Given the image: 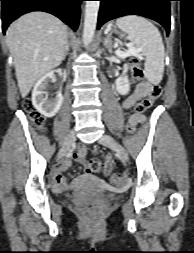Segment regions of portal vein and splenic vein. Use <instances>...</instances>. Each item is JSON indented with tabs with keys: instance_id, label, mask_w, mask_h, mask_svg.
I'll use <instances>...</instances> for the list:
<instances>
[{
	"instance_id": "obj_1",
	"label": "portal vein and splenic vein",
	"mask_w": 194,
	"mask_h": 253,
	"mask_svg": "<svg viewBox=\"0 0 194 253\" xmlns=\"http://www.w3.org/2000/svg\"><path fill=\"white\" fill-rule=\"evenodd\" d=\"M140 52L139 49H136L134 47H130L126 52H123L121 50H116V55L117 56H120V57H127V56H130V55H138Z\"/></svg>"
}]
</instances>
